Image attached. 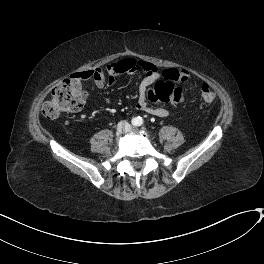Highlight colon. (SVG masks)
<instances>
[{
  "mask_svg": "<svg viewBox=\"0 0 264 264\" xmlns=\"http://www.w3.org/2000/svg\"><path fill=\"white\" fill-rule=\"evenodd\" d=\"M185 80L183 72L176 67L163 70V79L157 81L150 89V96L154 101L165 103H181L185 93L175 83ZM201 98L211 104L215 94L208 85L201 88ZM87 100V92L79 79L68 78L57 84L51 91L49 99L42 105V113L49 119H55L66 112L81 110Z\"/></svg>",
  "mask_w": 264,
  "mask_h": 264,
  "instance_id": "5ec220e1",
  "label": "colon"
}]
</instances>
